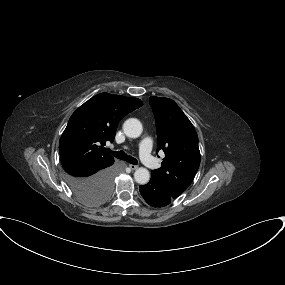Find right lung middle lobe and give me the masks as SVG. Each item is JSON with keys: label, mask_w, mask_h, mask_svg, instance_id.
I'll use <instances>...</instances> for the list:
<instances>
[{"label": "right lung middle lobe", "mask_w": 285, "mask_h": 285, "mask_svg": "<svg viewBox=\"0 0 285 285\" xmlns=\"http://www.w3.org/2000/svg\"><path fill=\"white\" fill-rule=\"evenodd\" d=\"M75 195L84 203L89 205H98L108 199L111 188L105 186L85 187L73 191Z\"/></svg>", "instance_id": "obj_1"}]
</instances>
